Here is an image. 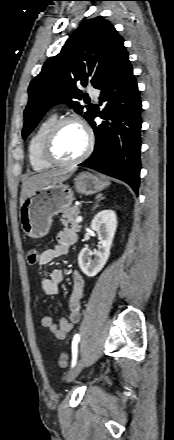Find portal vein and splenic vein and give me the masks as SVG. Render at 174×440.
I'll use <instances>...</instances> for the list:
<instances>
[{
	"mask_svg": "<svg viewBox=\"0 0 174 440\" xmlns=\"http://www.w3.org/2000/svg\"><path fill=\"white\" fill-rule=\"evenodd\" d=\"M82 220H83L82 216H78V217L76 218V222H77V223L82 222Z\"/></svg>",
	"mask_w": 174,
	"mask_h": 440,
	"instance_id": "1",
	"label": "portal vein and splenic vein"
}]
</instances>
